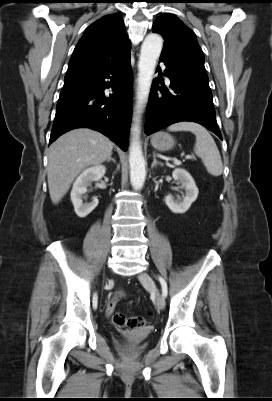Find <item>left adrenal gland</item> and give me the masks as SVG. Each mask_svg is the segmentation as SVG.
Listing matches in <instances>:
<instances>
[{"label": "left adrenal gland", "instance_id": "obj_1", "mask_svg": "<svg viewBox=\"0 0 272 401\" xmlns=\"http://www.w3.org/2000/svg\"><path fill=\"white\" fill-rule=\"evenodd\" d=\"M158 165L162 166V163H161V162H158L157 159H156V157H155V155H153V163H152V165H151V168L153 169L154 167H156V166H158Z\"/></svg>", "mask_w": 272, "mask_h": 401}]
</instances>
